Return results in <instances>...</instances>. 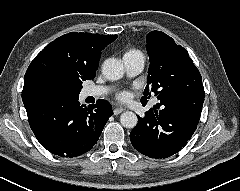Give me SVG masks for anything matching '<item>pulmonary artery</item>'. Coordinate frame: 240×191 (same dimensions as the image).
Here are the masks:
<instances>
[{
    "label": "pulmonary artery",
    "mask_w": 240,
    "mask_h": 191,
    "mask_svg": "<svg viewBox=\"0 0 240 191\" xmlns=\"http://www.w3.org/2000/svg\"><path fill=\"white\" fill-rule=\"evenodd\" d=\"M123 64L125 66L126 72L129 76H135L139 74L145 64V58L142 53H126L123 56ZM109 87L107 86H91L87 88V96H103L109 92Z\"/></svg>",
    "instance_id": "e3ab8cb5"
}]
</instances>
